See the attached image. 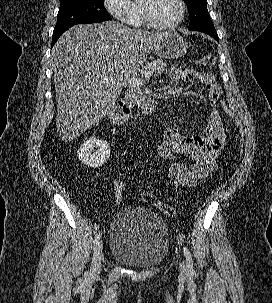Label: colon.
<instances>
[{"instance_id":"5ec220e1","label":"colon","mask_w":272,"mask_h":303,"mask_svg":"<svg viewBox=\"0 0 272 303\" xmlns=\"http://www.w3.org/2000/svg\"><path fill=\"white\" fill-rule=\"evenodd\" d=\"M215 57L211 54H207L205 56H203L198 63L200 65L206 66V67H210L213 66L215 64ZM221 107L223 109V111L229 116V118L235 122L238 131H239V138H238V148L241 151L242 147H243V142H244V131H243V126H242V122L240 120V118L236 115V113H234L226 104L225 101L221 102ZM123 190H124V181H123V177L120 175L115 183H114V196L117 202H122L123 200ZM140 198L143 202H145L148 205L154 206L157 209H159L161 212H163L164 214H166L169 217H175L177 215V211L176 209L159 200L154 194L148 192V191H142L140 194Z\"/></svg>"}]
</instances>
